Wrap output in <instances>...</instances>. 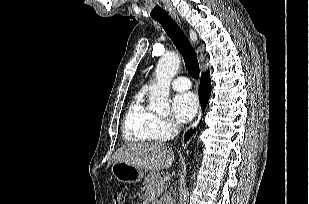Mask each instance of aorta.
Masks as SVG:
<instances>
[{"label":"aorta","mask_w":309,"mask_h":204,"mask_svg":"<svg viewBox=\"0 0 309 204\" xmlns=\"http://www.w3.org/2000/svg\"><path fill=\"white\" fill-rule=\"evenodd\" d=\"M180 57L174 52L166 53L156 66V83L150 87V109L157 113H166L170 110L169 86L177 73Z\"/></svg>","instance_id":"aorta-1"}]
</instances>
